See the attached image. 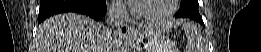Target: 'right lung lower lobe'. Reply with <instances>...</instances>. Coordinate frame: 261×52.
Masks as SVG:
<instances>
[{
    "mask_svg": "<svg viewBox=\"0 0 261 52\" xmlns=\"http://www.w3.org/2000/svg\"><path fill=\"white\" fill-rule=\"evenodd\" d=\"M106 10L105 0H41L38 23L63 12H77L100 21Z\"/></svg>",
    "mask_w": 261,
    "mask_h": 52,
    "instance_id": "right-lung-lower-lobe-1",
    "label": "right lung lower lobe"
}]
</instances>
